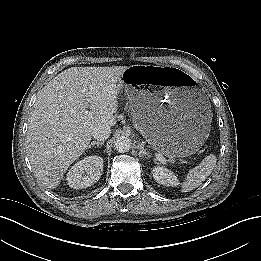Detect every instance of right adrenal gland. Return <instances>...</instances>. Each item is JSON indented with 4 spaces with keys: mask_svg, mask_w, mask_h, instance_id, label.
I'll use <instances>...</instances> for the list:
<instances>
[{
    "mask_svg": "<svg viewBox=\"0 0 261 261\" xmlns=\"http://www.w3.org/2000/svg\"><path fill=\"white\" fill-rule=\"evenodd\" d=\"M103 144H104V142H102V141H92V142L89 144L88 148H91V147L94 146V145H96L97 147H99V146H101V145H103Z\"/></svg>",
    "mask_w": 261,
    "mask_h": 261,
    "instance_id": "obj_1",
    "label": "right adrenal gland"
}]
</instances>
